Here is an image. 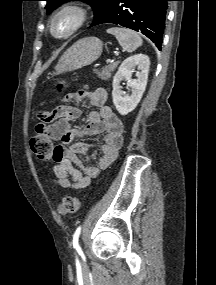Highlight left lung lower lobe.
<instances>
[{"mask_svg": "<svg viewBox=\"0 0 216 285\" xmlns=\"http://www.w3.org/2000/svg\"><path fill=\"white\" fill-rule=\"evenodd\" d=\"M167 1L170 0H113L103 17L91 26L119 24L142 32L161 50Z\"/></svg>", "mask_w": 216, "mask_h": 285, "instance_id": "0a47b994", "label": "left lung lower lobe"}]
</instances>
